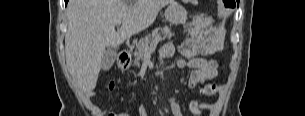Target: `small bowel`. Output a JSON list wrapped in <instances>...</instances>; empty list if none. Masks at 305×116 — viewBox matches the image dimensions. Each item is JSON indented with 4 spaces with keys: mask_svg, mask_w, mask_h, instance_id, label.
Instances as JSON below:
<instances>
[{
    "mask_svg": "<svg viewBox=\"0 0 305 116\" xmlns=\"http://www.w3.org/2000/svg\"><path fill=\"white\" fill-rule=\"evenodd\" d=\"M220 43L215 38H209L201 46V50L205 55H212L219 51ZM175 53V47L172 43L164 44L160 49V56L162 58H170ZM178 68L191 69L189 86L196 88L203 86V92L207 96H214L218 92V86L215 83L209 82L217 75L218 64L213 59H206L202 57H192L189 60L180 59L177 61ZM169 105L173 116H184L179 100L176 97H170ZM189 110L193 116H205V110H211L214 105L209 102L199 103L196 100L189 102ZM137 116H148L146 108L142 106Z\"/></svg>",
    "mask_w": 305,
    "mask_h": 116,
    "instance_id": "obj_1",
    "label": "small bowel"
}]
</instances>
